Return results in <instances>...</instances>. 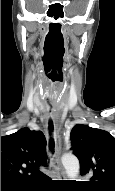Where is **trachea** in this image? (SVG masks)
<instances>
[{
  "mask_svg": "<svg viewBox=\"0 0 115 191\" xmlns=\"http://www.w3.org/2000/svg\"><path fill=\"white\" fill-rule=\"evenodd\" d=\"M53 132V122L52 121H49V134L51 135ZM54 140L53 138L51 137L50 138V142H49V149L50 151L53 153L54 152Z\"/></svg>",
  "mask_w": 115,
  "mask_h": 191,
  "instance_id": "trachea-1",
  "label": "trachea"
}]
</instances>
